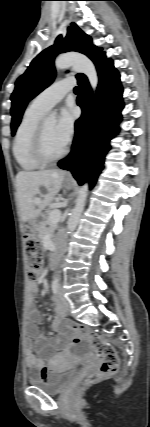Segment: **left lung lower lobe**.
<instances>
[{"instance_id": "0a47b994", "label": "left lung lower lobe", "mask_w": 150, "mask_h": 427, "mask_svg": "<svg viewBox=\"0 0 150 427\" xmlns=\"http://www.w3.org/2000/svg\"><path fill=\"white\" fill-rule=\"evenodd\" d=\"M95 65L99 76L96 99H92L86 76L78 79L81 92L77 104L83 113L75 123L72 151L58 163L60 168L71 171L80 185L89 180L91 187L103 168L109 141L118 132L124 106L120 76L112 60L103 55Z\"/></svg>"}]
</instances>
